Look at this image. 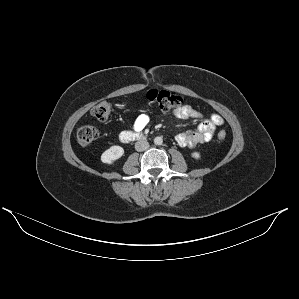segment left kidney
<instances>
[{
  "mask_svg": "<svg viewBox=\"0 0 299 299\" xmlns=\"http://www.w3.org/2000/svg\"><path fill=\"white\" fill-rule=\"evenodd\" d=\"M191 156H192L193 158L197 159V160L201 158V155H200V153H198V152H194V153H192Z\"/></svg>",
  "mask_w": 299,
  "mask_h": 299,
  "instance_id": "obj_1",
  "label": "left kidney"
}]
</instances>
